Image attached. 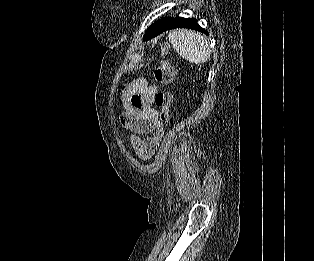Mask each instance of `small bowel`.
I'll return each mask as SVG.
<instances>
[{
  "mask_svg": "<svg viewBox=\"0 0 314 261\" xmlns=\"http://www.w3.org/2000/svg\"><path fill=\"white\" fill-rule=\"evenodd\" d=\"M158 87L144 77L135 79L123 92L124 113L121 124L131 133V143L137 155L149 159L164 133V124L154 107ZM146 136L141 138V136Z\"/></svg>",
  "mask_w": 314,
  "mask_h": 261,
  "instance_id": "1",
  "label": "small bowel"
}]
</instances>
